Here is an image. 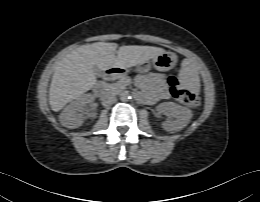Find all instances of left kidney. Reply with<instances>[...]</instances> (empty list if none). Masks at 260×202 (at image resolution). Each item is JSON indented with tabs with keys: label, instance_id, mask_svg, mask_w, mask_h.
I'll return each instance as SVG.
<instances>
[{
	"label": "left kidney",
	"instance_id": "5707ae66",
	"mask_svg": "<svg viewBox=\"0 0 260 202\" xmlns=\"http://www.w3.org/2000/svg\"><path fill=\"white\" fill-rule=\"evenodd\" d=\"M158 113L169 112L174 120L163 122V128L168 132H177L183 129L192 118V111L174 102H163L156 107Z\"/></svg>",
	"mask_w": 260,
	"mask_h": 202
}]
</instances>
